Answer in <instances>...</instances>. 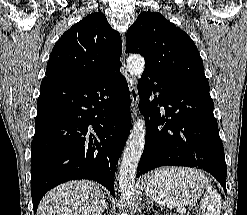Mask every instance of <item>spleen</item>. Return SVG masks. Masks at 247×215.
Segmentation results:
<instances>
[{
  "instance_id": "1",
  "label": "spleen",
  "mask_w": 247,
  "mask_h": 215,
  "mask_svg": "<svg viewBox=\"0 0 247 215\" xmlns=\"http://www.w3.org/2000/svg\"><path fill=\"white\" fill-rule=\"evenodd\" d=\"M204 185L207 188L208 195H206L200 202V209L203 210V215H220L222 200L221 196L212 190V186L208 180H205Z\"/></svg>"
}]
</instances>
